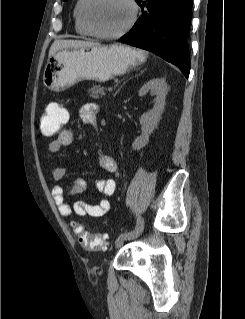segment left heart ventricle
Instances as JSON below:
<instances>
[{
	"label": "left heart ventricle",
	"instance_id": "left-heart-ventricle-1",
	"mask_svg": "<svg viewBox=\"0 0 245 319\" xmlns=\"http://www.w3.org/2000/svg\"><path fill=\"white\" fill-rule=\"evenodd\" d=\"M130 17L131 8L126 0H94L89 9L92 24L104 33L119 31Z\"/></svg>",
	"mask_w": 245,
	"mask_h": 319
}]
</instances>
